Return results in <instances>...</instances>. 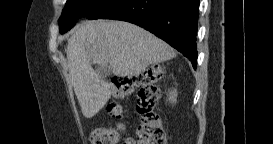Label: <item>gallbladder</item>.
I'll return each mask as SVG.
<instances>
[{
	"label": "gallbladder",
	"instance_id": "gallbladder-1",
	"mask_svg": "<svg viewBox=\"0 0 273 144\" xmlns=\"http://www.w3.org/2000/svg\"><path fill=\"white\" fill-rule=\"evenodd\" d=\"M111 67L109 65H97L98 73H101L100 76H104L103 78L106 80L108 77L111 76Z\"/></svg>",
	"mask_w": 273,
	"mask_h": 144
}]
</instances>
